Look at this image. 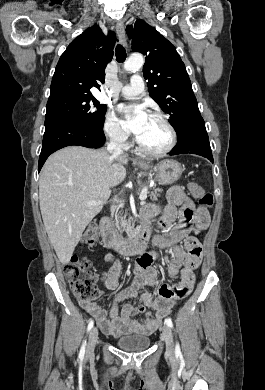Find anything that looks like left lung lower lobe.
<instances>
[{
	"label": "left lung lower lobe",
	"mask_w": 265,
	"mask_h": 390,
	"mask_svg": "<svg viewBox=\"0 0 265 390\" xmlns=\"http://www.w3.org/2000/svg\"><path fill=\"white\" fill-rule=\"evenodd\" d=\"M188 153L203 156L213 163L209 138L202 118L191 127L189 133L184 138L177 141L176 146L168 154L178 155Z\"/></svg>",
	"instance_id": "obj_1"
}]
</instances>
